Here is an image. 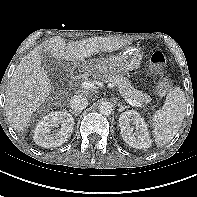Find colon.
Instances as JSON below:
<instances>
[{
	"instance_id": "colon-1",
	"label": "colon",
	"mask_w": 197,
	"mask_h": 197,
	"mask_svg": "<svg viewBox=\"0 0 197 197\" xmlns=\"http://www.w3.org/2000/svg\"><path fill=\"white\" fill-rule=\"evenodd\" d=\"M149 61L152 70L160 75L159 82L157 84V92L159 95H165L171 88L170 79L164 74L166 68V57L159 50H151L149 53Z\"/></svg>"
}]
</instances>
